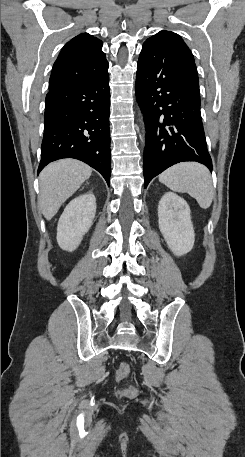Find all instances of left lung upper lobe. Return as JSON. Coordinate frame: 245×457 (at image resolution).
<instances>
[{
	"mask_svg": "<svg viewBox=\"0 0 245 457\" xmlns=\"http://www.w3.org/2000/svg\"><path fill=\"white\" fill-rule=\"evenodd\" d=\"M167 44L172 46L191 74L198 80L197 69L192 52L179 35L170 31H160L148 38L143 44L142 50L153 49L157 45Z\"/></svg>",
	"mask_w": 245,
	"mask_h": 457,
	"instance_id": "obj_1",
	"label": "left lung upper lobe"
}]
</instances>
